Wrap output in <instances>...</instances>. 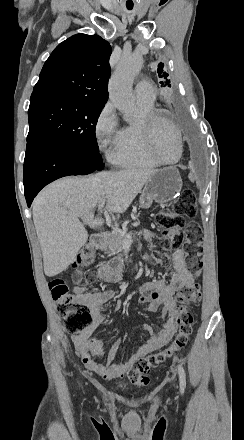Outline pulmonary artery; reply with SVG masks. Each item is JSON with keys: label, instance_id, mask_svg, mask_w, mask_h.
<instances>
[{"label": "pulmonary artery", "instance_id": "obj_1", "mask_svg": "<svg viewBox=\"0 0 244 440\" xmlns=\"http://www.w3.org/2000/svg\"><path fill=\"white\" fill-rule=\"evenodd\" d=\"M136 100L142 103L155 102L156 91L152 90L151 82H137L136 83Z\"/></svg>", "mask_w": 244, "mask_h": 440}]
</instances>
